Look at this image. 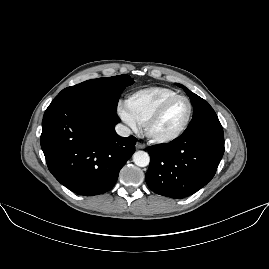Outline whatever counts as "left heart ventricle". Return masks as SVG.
<instances>
[{"instance_id": "obj_1", "label": "left heart ventricle", "mask_w": 269, "mask_h": 269, "mask_svg": "<svg viewBox=\"0 0 269 269\" xmlns=\"http://www.w3.org/2000/svg\"><path fill=\"white\" fill-rule=\"evenodd\" d=\"M188 111L185 100L179 99L173 102L164 114L153 124L151 131L154 136L167 137L176 133L183 125Z\"/></svg>"}]
</instances>
